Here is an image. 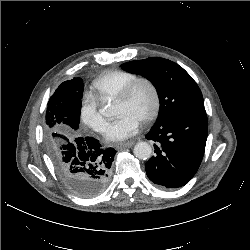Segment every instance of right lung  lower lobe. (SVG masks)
I'll list each match as a JSON object with an SVG mask.
<instances>
[{"instance_id":"obj_1","label":"right lung lower lobe","mask_w":250,"mask_h":250,"mask_svg":"<svg viewBox=\"0 0 250 250\" xmlns=\"http://www.w3.org/2000/svg\"><path fill=\"white\" fill-rule=\"evenodd\" d=\"M116 151L104 149L93 137L64 138L60 155L53 160L66 186L77 196H97L109 183Z\"/></svg>"}]
</instances>
